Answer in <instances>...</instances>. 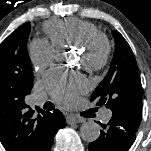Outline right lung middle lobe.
Returning <instances> with one entry per match:
<instances>
[{"label":"right lung middle lobe","mask_w":151,"mask_h":151,"mask_svg":"<svg viewBox=\"0 0 151 151\" xmlns=\"http://www.w3.org/2000/svg\"><path fill=\"white\" fill-rule=\"evenodd\" d=\"M30 22L17 28L0 45V95L25 96L34 75L27 51Z\"/></svg>","instance_id":"obj_1"}]
</instances>
